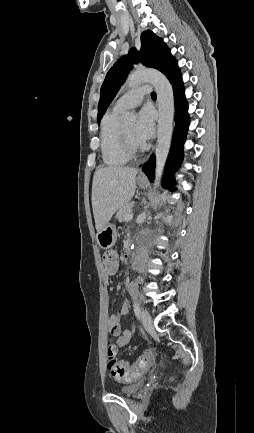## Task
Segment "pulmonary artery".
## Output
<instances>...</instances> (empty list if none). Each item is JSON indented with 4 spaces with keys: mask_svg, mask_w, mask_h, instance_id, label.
<instances>
[{
    "mask_svg": "<svg viewBox=\"0 0 254 433\" xmlns=\"http://www.w3.org/2000/svg\"><path fill=\"white\" fill-rule=\"evenodd\" d=\"M150 92L149 85H143L129 90L123 96H121L114 104L113 109L116 111H123L130 108H134L143 100V97Z\"/></svg>",
    "mask_w": 254,
    "mask_h": 433,
    "instance_id": "pulmonary-artery-1",
    "label": "pulmonary artery"
}]
</instances>
